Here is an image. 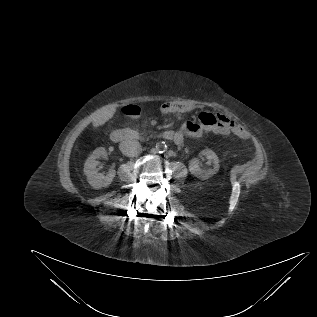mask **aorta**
Segmentation results:
<instances>
[{"instance_id": "1", "label": "aorta", "mask_w": 317, "mask_h": 317, "mask_svg": "<svg viewBox=\"0 0 317 317\" xmlns=\"http://www.w3.org/2000/svg\"><path fill=\"white\" fill-rule=\"evenodd\" d=\"M157 149L158 150H163L164 149V145L163 144H158L157 145Z\"/></svg>"}]
</instances>
